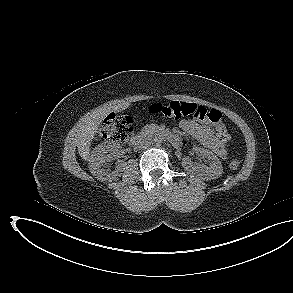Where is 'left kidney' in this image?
<instances>
[{"label": "left kidney", "mask_w": 293, "mask_h": 293, "mask_svg": "<svg viewBox=\"0 0 293 293\" xmlns=\"http://www.w3.org/2000/svg\"><path fill=\"white\" fill-rule=\"evenodd\" d=\"M194 151L197 154H201L203 157L207 158L209 166L204 164L195 165L189 157H185L183 158L181 164L186 170L196 172L203 180L216 179L222 175L223 167L221 161L216 155H214L213 152L200 147H196Z\"/></svg>", "instance_id": "left-kidney-1"}]
</instances>
